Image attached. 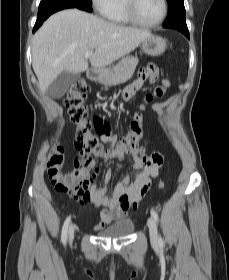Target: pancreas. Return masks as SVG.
Masks as SVG:
<instances>
[{
  "instance_id": "obj_1",
  "label": "pancreas",
  "mask_w": 229,
  "mask_h": 280,
  "mask_svg": "<svg viewBox=\"0 0 229 280\" xmlns=\"http://www.w3.org/2000/svg\"><path fill=\"white\" fill-rule=\"evenodd\" d=\"M138 58L127 56L122 58L113 68L108 69L113 77L110 85L121 83L128 79L134 72Z\"/></svg>"
}]
</instances>
